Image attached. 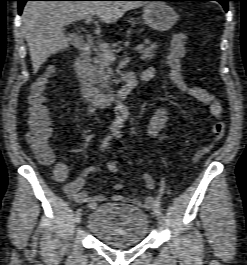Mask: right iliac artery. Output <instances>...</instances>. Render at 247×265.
I'll list each match as a JSON object with an SVG mask.
<instances>
[{
  "instance_id": "right-iliac-artery-1",
  "label": "right iliac artery",
  "mask_w": 247,
  "mask_h": 265,
  "mask_svg": "<svg viewBox=\"0 0 247 265\" xmlns=\"http://www.w3.org/2000/svg\"><path fill=\"white\" fill-rule=\"evenodd\" d=\"M111 138H112V136H108L107 138L104 139V141L101 145L102 149L107 147ZM86 207L89 209H94L96 207V203H94V202L88 203V204H86Z\"/></svg>"
}]
</instances>
